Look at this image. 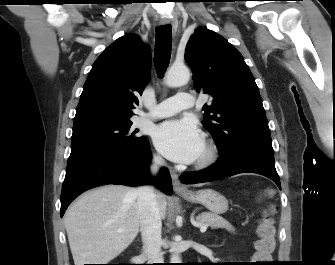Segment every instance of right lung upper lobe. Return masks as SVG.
Listing matches in <instances>:
<instances>
[{"label":"right lung upper lobe","mask_w":335,"mask_h":265,"mask_svg":"<svg viewBox=\"0 0 335 265\" xmlns=\"http://www.w3.org/2000/svg\"><path fill=\"white\" fill-rule=\"evenodd\" d=\"M151 75V53L137 35L118 38L94 62L83 87L73 127L129 121Z\"/></svg>","instance_id":"cb5924a9"}]
</instances>
